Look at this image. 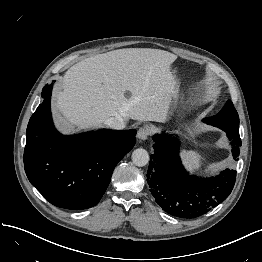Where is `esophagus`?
I'll return each instance as SVG.
<instances>
[{"label":"esophagus","instance_id":"34e87169","mask_svg":"<svg viewBox=\"0 0 262 262\" xmlns=\"http://www.w3.org/2000/svg\"><path fill=\"white\" fill-rule=\"evenodd\" d=\"M149 135H150V130H149V128H148L147 126L141 127V128L138 130V132H137V137H138V139H140V140H146V139H148Z\"/></svg>","mask_w":262,"mask_h":262}]
</instances>
